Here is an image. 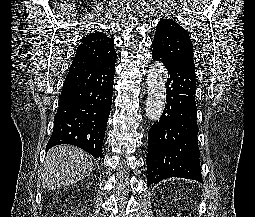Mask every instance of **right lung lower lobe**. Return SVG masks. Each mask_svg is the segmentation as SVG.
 Wrapping results in <instances>:
<instances>
[{
  "label": "right lung lower lobe",
  "mask_w": 255,
  "mask_h": 217,
  "mask_svg": "<svg viewBox=\"0 0 255 217\" xmlns=\"http://www.w3.org/2000/svg\"><path fill=\"white\" fill-rule=\"evenodd\" d=\"M114 73L115 61L96 68L69 69L47 150L70 144L95 158H104L102 144L111 109Z\"/></svg>",
  "instance_id": "obj_1"
}]
</instances>
